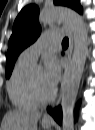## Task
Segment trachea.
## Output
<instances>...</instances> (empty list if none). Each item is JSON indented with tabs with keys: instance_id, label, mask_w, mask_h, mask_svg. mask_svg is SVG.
<instances>
[{
	"instance_id": "obj_1",
	"label": "trachea",
	"mask_w": 95,
	"mask_h": 130,
	"mask_svg": "<svg viewBox=\"0 0 95 130\" xmlns=\"http://www.w3.org/2000/svg\"><path fill=\"white\" fill-rule=\"evenodd\" d=\"M68 45H69V40H68V38H64L63 39V41H62V46H64V47H68Z\"/></svg>"
}]
</instances>
